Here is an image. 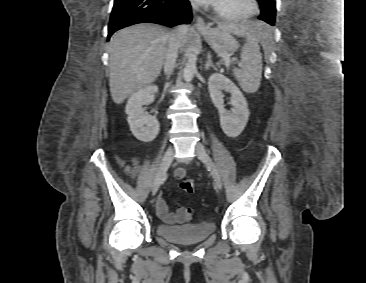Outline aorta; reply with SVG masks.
<instances>
[{"instance_id": "1", "label": "aorta", "mask_w": 366, "mask_h": 283, "mask_svg": "<svg viewBox=\"0 0 366 283\" xmlns=\"http://www.w3.org/2000/svg\"><path fill=\"white\" fill-rule=\"evenodd\" d=\"M196 63H197L196 53L190 52L188 54V61L183 69V79L186 82H191L193 80V77L197 71Z\"/></svg>"}]
</instances>
